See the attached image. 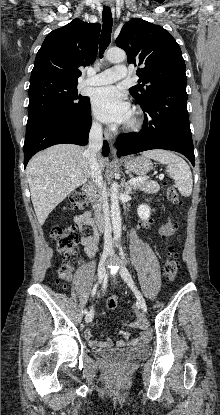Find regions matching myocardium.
Masks as SVG:
<instances>
[{
    "label": "myocardium",
    "mask_w": 220,
    "mask_h": 415,
    "mask_svg": "<svg viewBox=\"0 0 220 415\" xmlns=\"http://www.w3.org/2000/svg\"><path fill=\"white\" fill-rule=\"evenodd\" d=\"M140 126H141V120L139 119L137 115H134L127 125L129 129H133V130L138 129Z\"/></svg>",
    "instance_id": "myocardium-1"
}]
</instances>
